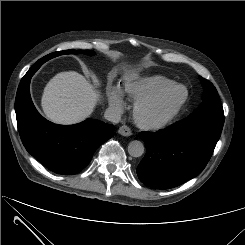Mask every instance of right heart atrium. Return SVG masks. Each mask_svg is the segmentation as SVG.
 I'll return each instance as SVG.
<instances>
[{"mask_svg":"<svg viewBox=\"0 0 245 245\" xmlns=\"http://www.w3.org/2000/svg\"><path fill=\"white\" fill-rule=\"evenodd\" d=\"M106 94L110 107L116 112H122L124 101L121 89L117 85H109Z\"/></svg>","mask_w":245,"mask_h":245,"instance_id":"obj_1","label":"right heart atrium"}]
</instances>
